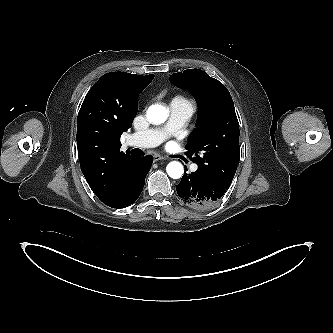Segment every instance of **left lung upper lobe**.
<instances>
[{
  "mask_svg": "<svg viewBox=\"0 0 333 333\" xmlns=\"http://www.w3.org/2000/svg\"><path fill=\"white\" fill-rule=\"evenodd\" d=\"M170 81L190 90L199 103L197 129L188 138V157L213 181L229 188L240 159L239 123L227 88L204 71L174 73Z\"/></svg>",
  "mask_w": 333,
  "mask_h": 333,
  "instance_id": "5c2ea615",
  "label": "left lung upper lobe"
}]
</instances>
